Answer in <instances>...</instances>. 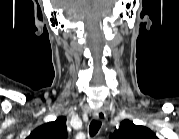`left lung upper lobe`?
<instances>
[{"label":"left lung upper lobe","instance_id":"obj_1","mask_svg":"<svg viewBox=\"0 0 179 139\" xmlns=\"http://www.w3.org/2000/svg\"><path fill=\"white\" fill-rule=\"evenodd\" d=\"M155 138L153 132L144 127L133 124L132 121L124 120L119 129L113 133V139H147Z\"/></svg>","mask_w":179,"mask_h":139}]
</instances>
